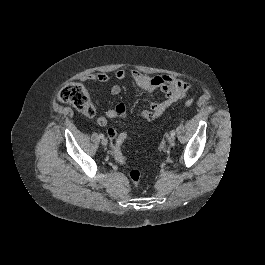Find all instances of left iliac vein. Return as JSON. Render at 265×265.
Wrapping results in <instances>:
<instances>
[{
    "instance_id": "4c4485c4",
    "label": "left iliac vein",
    "mask_w": 265,
    "mask_h": 265,
    "mask_svg": "<svg viewBox=\"0 0 265 265\" xmlns=\"http://www.w3.org/2000/svg\"><path fill=\"white\" fill-rule=\"evenodd\" d=\"M167 140H168L169 143H173L175 141V136L174 135H169L167 137Z\"/></svg>"
}]
</instances>
